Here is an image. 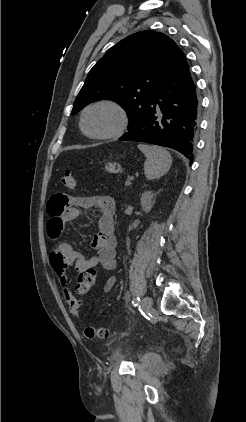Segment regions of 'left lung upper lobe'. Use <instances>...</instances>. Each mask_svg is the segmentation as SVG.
Wrapping results in <instances>:
<instances>
[{"instance_id": "5c2ea615", "label": "left lung upper lobe", "mask_w": 246, "mask_h": 422, "mask_svg": "<svg viewBox=\"0 0 246 422\" xmlns=\"http://www.w3.org/2000/svg\"><path fill=\"white\" fill-rule=\"evenodd\" d=\"M183 52L163 33L141 31L114 45L90 70L72 109L113 100L127 111L128 131L143 119L149 102Z\"/></svg>"}]
</instances>
